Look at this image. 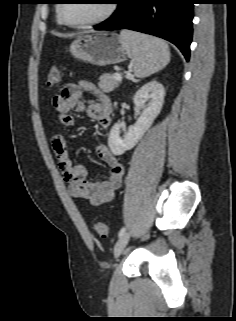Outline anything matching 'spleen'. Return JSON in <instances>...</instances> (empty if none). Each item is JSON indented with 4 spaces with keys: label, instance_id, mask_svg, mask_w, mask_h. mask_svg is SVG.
Returning a JSON list of instances; mask_svg holds the SVG:
<instances>
[{
    "label": "spleen",
    "instance_id": "spleen-1",
    "mask_svg": "<svg viewBox=\"0 0 236 321\" xmlns=\"http://www.w3.org/2000/svg\"><path fill=\"white\" fill-rule=\"evenodd\" d=\"M120 40L131 58L134 74L138 78L158 72L170 61L169 46L162 39L122 30Z\"/></svg>",
    "mask_w": 236,
    "mask_h": 321
}]
</instances>
